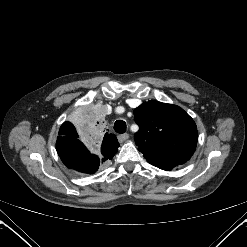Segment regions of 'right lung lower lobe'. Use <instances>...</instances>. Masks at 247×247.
Returning <instances> with one entry per match:
<instances>
[{
	"mask_svg": "<svg viewBox=\"0 0 247 247\" xmlns=\"http://www.w3.org/2000/svg\"><path fill=\"white\" fill-rule=\"evenodd\" d=\"M119 145V144H118ZM57 152L68 168H73L83 173H94L101 160L77 138L59 136L56 143Z\"/></svg>",
	"mask_w": 247,
	"mask_h": 247,
	"instance_id": "right-lung-lower-lobe-1",
	"label": "right lung lower lobe"
}]
</instances>
